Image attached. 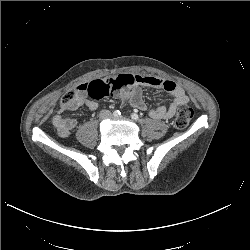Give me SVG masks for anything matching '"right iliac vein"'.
<instances>
[{"label": "right iliac vein", "mask_w": 250, "mask_h": 250, "mask_svg": "<svg viewBox=\"0 0 250 250\" xmlns=\"http://www.w3.org/2000/svg\"><path fill=\"white\" fill-rule=\"evenodd\" d=\"M110 116H111V114L108 111H102L101 114H100V116H99V118L101 120H104V119L109 118Z\"/></svg>", "instance_id": "1"}]
</instances>
